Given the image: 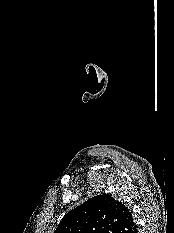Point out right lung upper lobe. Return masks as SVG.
I'll list each match as a JSON object with an SVG mask.
<instances>
[{
	"label": "right lung upper lobe",
	"mask_w": 174,
	"mask_h": 233,
	"mask_svg": "<svg viewBox=\"0 0 174 233\" xmlns=\"http://www.w3.org/2000/svg\"><path fill=\"white\" fill-rule=\"evenodd\" d=\"M54 233H137V226L123 203L100 194L69 211Z\"/></svg>",
	"instance_id": "right-lung-upper-lobe-1"
}]
</instances>
